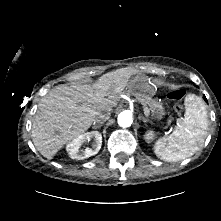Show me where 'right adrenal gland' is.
I'll return each mask as SVG.
<instances>
[{
    "label": "right adrenal gland",
    "mask_w": 221,
    "mask_h": 221,
    "mask_svg": "<svg viewBox=\"0 0 221 221\" xmlns=\"http://www.w3.org/2000/svg\"><path fill=\"white\" fill-rule=\"evenodd\" d=\"M102 125H94L92 128L93 129H100Z\"/></svg>",
    "instance_id": "1"
}]
</instances>
